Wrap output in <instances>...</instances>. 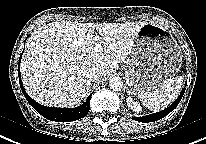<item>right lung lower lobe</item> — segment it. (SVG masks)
<instances>
[{
  "mask_svg": "<svg viewBox=\"0 0 206 144\" xmlns=\"http://www.w3.org/2000/svg\"><path fill=\"white\" fill-rule=\"evenodd\" d=\"M20 59H21V56H20ZM18 74H19V83H20V86H21V89H22V92L25 98L27 99L29 104L46 119L57 121V122H70V121L81 119L88 114L89 109H90V99H91L92 93L89 95L86 102H84L82 105L76 108L69 109V108L46 107L34 101L26 93L25 89L23 88L21 79H20V73Z\"/></svg>",
  "mask_w": 206,
  "mask_h": 144,
  "instance_id": "1",
  "label": "right lung lower lobe"
}]
</instances>
